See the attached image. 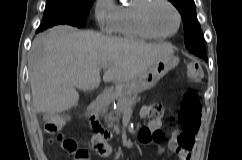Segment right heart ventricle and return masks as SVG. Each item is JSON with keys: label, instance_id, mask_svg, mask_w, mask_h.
Returning a JSON list of instances; mask_svg holds the SVG:
<instances>
[{"label": "right heart ventricle", "instance_id": "right-heart-ventricle-1", "mask_svg": "<svg viewBox=\"0 0 242 160\" xmlns=\"http://www.w3.org/2000/svg\"><path fill=\"white\" fill-rule=\"evenodd\" d=\"M144 0H131L127 5L117 6L113 33L128 39L148 40L153 37L147 35L138 25L136 11Z\"/></svg>", "mask_w": 242, "mask_h": 160}]
</instances>
